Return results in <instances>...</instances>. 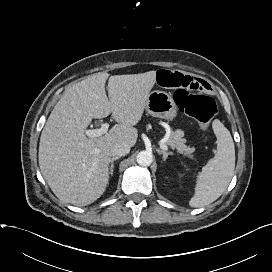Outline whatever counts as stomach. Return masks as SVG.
I'll use <instances>...</instances> for the list:
<instances>
[{
  "label": "stomach",
  "mask_w": 272,
  "mask_h": 272,
  "mask_svg": "<svg viewBox=\"0 0 272 272\" xmlns=\"http://www.w3.org/2000/svg\"><path fill=\"white\" fill-rule=\"evenodd\" d=\"M145 109L149 115L167 120H172L177 115V107L172 96L160 90L149 93Z\"/></svg>",
  "instance_id": "stomach-1"
}]
</instances>
